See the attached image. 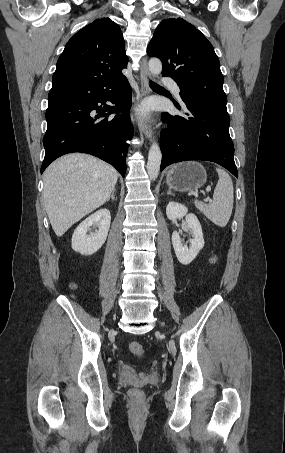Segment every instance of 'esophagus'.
<instances>
[{
  "mask_svg": "<svg viewBox=\"0 0 285 453\" xmlns=\"http://www.w3.org/2000/svg\"><path fill=\"white\" fill-rule=\"evenodd\" d=\"M149 69L147 65V59L144 57L141 61V69H140V83H141V97H144L151 93V89L149 87ZM139 131L147 138L151 139L152 131L150 125L145 121V119L138 118L137 121Z\"/></svg>",
  "mask_w": 285,
  "mask_h": 453,
  "instance_id": "esophagus-1",
  "label": "esophagus"
}]
</instances>
